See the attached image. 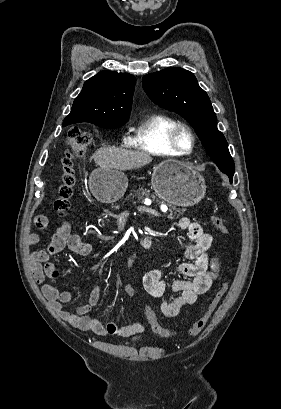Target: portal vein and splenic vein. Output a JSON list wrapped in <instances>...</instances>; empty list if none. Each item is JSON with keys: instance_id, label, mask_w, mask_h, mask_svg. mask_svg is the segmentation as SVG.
Wrapping results in <instances>:
<instances>
[{"instance_id": "1", "label": "portal vein and splenic vein", "mask_w": 281, "mask_h": 409, "mask_svg": "<svg viewBox=\"0 0 281 409\" xmlns=\"http://www.w3.org/2000/svg\"><path fill=\"white\" fill-rule=\"evenodd\" d=\"M164 201V200H163ZM165 202V201H164ZM166 203V202H165ZM151 209L149 208V207H145L143 204H140L138 207H137V212L138 213H145L147 216H160L161 215V212L160 211H150ZM153 210H155V209H153Z\"/></svg>"}]
</instances>
